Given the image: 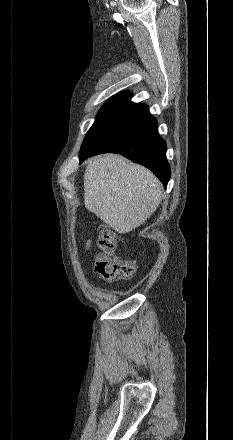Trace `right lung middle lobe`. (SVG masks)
Masks as SVG:
<instances>
[{
    "label": "right lung middle lobe",
    "mask_w": 233,
    "mask_h": 440,
    "mask_svg": "<svg viewBox=\"0 0 233 440\" xmlns=\"http://www.w3.org/2000/svg\"><path fill=\"white\" fill-rule=\"evenodd\" d=\"M123 107H124L123 105H119V104L105 103L100 109L97 118L94 124L92 125V127L89 129L87 135H89L91 132H93L95 129H97L99 126L105 123L109 118H111Z\"/></svg>",
    "instance_id": "right-lung-middle-lobe-1"
}]
</instances>
